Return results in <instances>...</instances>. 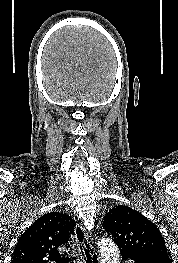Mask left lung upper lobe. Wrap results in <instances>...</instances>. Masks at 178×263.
I'll list each match as a JSON object with an SVG mask.
<instances>
[{"mask_svg": "<svg viewBox=\"0 0 178 263\" xmlns=\"http://www.w3.org/2000/svg\"><path fill=\"white\" fill-rule=\"evenodd\" d=\"M103 228L131 258L160 257L170 259L158 228L138 211L116 206L104 217Z\"/></svg>", "mask_w": 178, "mask_h": 263, "instance_id": "1", "label": "left lung upper lobe"}]
</instances>
